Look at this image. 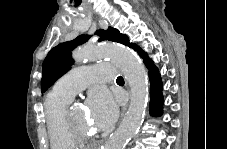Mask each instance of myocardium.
<instances>
[{"label": "myocardium", "mask_w": 227, "mask_h": 149, "mask_svg": "<svg viewBox=\"0 0 227 149\" xmlns=\"http://www.w3.org/2000/svg\"><path fill=\"white\" fill-rule=\"evenodd\" d=\"M65 126L69 134L77 141H86L93 137L90 132L82 130L75 122L72 116V108L67 107L64 114Z\"/></svg>", "instance_id": "f54148a6"}]
</instances>
